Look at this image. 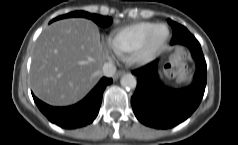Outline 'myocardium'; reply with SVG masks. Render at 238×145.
I'll list each match as a JSON object with an SVG mask.
<instances>
[{"label": "myocardium", "mask_w": 238, "mask_h": 145, "mask_svg": "<svg viewBox=\"0 0 238 145\" xmlns=\"http://www.w3.org/2000/svg\"><path fill=\"white\" fill-rule=\"evenodd\" d=\"M159 28L165 29V35L160 41L155 42V34ZM169 38L170 31L166 24H154L142 40L141 44L131 53L132 61L139 65L149 63L164 49Z\"/></svg>", "instance_id": "obj_1"}]
</instances>
